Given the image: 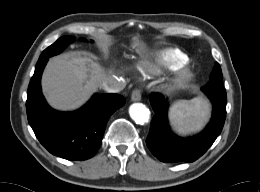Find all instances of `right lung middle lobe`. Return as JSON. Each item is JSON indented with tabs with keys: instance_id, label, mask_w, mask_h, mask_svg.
I'll list each match as a JSON object with an SVG mask.
<instances>
[{
	"instance_id": "dd1d6c3e",
	"label": "right lung middle lobe",
	"mask_w": 260,
	"mask_h": 192,
	"mask_svg": "<svg viewBox=\"0 0 260 192\" xmlns=\"http://www.w3.org/2000/svg\"><path fill=\"white\" fill-rule=\"evenodd\" d=\"M73 41L74 39L71 36H63L59 38L54 44L43 51L38 62L48 60L49 57L59 54L69 43Z\"/></svg>"
}]
</instances>
